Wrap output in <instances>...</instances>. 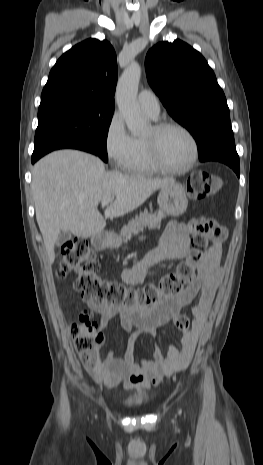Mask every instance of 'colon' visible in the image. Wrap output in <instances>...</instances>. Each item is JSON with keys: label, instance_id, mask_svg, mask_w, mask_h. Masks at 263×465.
<instances>
[{"label": "colon", "instance_id": "5ec220e1", "mask_svg": "<svg viewBox=\"0 0 263 465\" xmlns=\"http://www.w3.org/2000/svg\"><path fill=\"white\" fill-rule=\"evenodd\" d=\"M222 186L221 178L213 173L198 172L187 182V192L192 199H203L217 193ZM199 232L193 237L192 249L187 259L177 268L161 278L157 284H147L141 289H132L113 281H107L97 275L99 263L95 253L84 238H75L62 247V258L57 269L59 277L69 273L76 274L74 288L87 300H94L110 306H127L144 310L159 304L166 298L184 291L195 279V273L201 264L208 247V233L217 225L210 219L198 220ZM174 324L179 331L186 332L190 327L189 318L178 315ZM70 334L84 367L95 369L100 362V348L104 335L92 322L88 314H82L80 321L70 327Z\"/></svg>", "mask_w": 263, "mask_h": 465}]
</instances>
